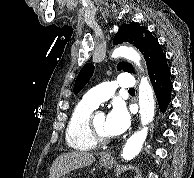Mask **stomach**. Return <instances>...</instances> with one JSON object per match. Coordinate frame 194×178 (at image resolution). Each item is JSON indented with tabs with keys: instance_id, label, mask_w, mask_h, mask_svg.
<instances>
[{
	"instance_id": "stomach-1",
	"label": "stomach",
	"mask_w": 194,
	"mask_h": 178,
	"mask_svg": "<svg viewBox=\"0 0 194 178\" xmlns=\"http://www.w3.org/2000/svg\"><path fill=\"white\" fill-rule=\"evenodd\" d=\"M99 163L102 167L111 168L114 164V159H113V157H110V158L101 157L99 160ZM63 178H65V177H63Z\"/></svg>"
}]
</instances>
